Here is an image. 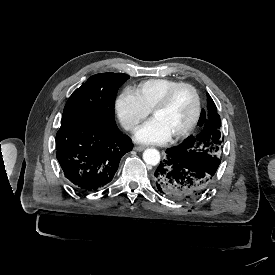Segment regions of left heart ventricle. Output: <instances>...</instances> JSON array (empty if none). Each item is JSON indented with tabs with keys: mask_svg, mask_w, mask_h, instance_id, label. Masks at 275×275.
I'll use <instances>...</instances> for the list:
<instances>
[{
	"mask_svg": "<svg viewBox=\"0 0 275 275\" xmlns=\"http://www.w3.org/2000/svg\"><path fill=\"white\" fill-rule=\"evenodd\" d=\"M195 112V98L188 87L177 89L168 105L158 111L153 119L170 136L183 130L191 121Z\"/></svg>",
	"mask_w": 275,
	"mask_h": 275,
	"instance_id": "b2bd125f",
	"label": "left heart ventricle"
}]
</instances>
